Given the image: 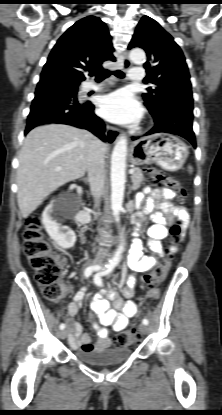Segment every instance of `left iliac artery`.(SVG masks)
<instances>
[{"mask_svg": "<svg viewBox=\"0 0 222 415\" xmlns=\"http://www.w3.org/2000/svg\"><path fill=\"white\" fill-rule=\"evenodd\" d=\"M115 265L114 264H110L106 266V269L100 273H97L94 277V282L95 284H97L98 286H102L103 282H102V276H108L110 275V273L114 270ZM144 324L148 325L149 321L147 318H144L142 321Z\"/></svg>", "mask_w": 222, "mask_h": 415, "instance_id": "left-iliac-artery-1", "label": "left iliac artery"}]
</instances>
